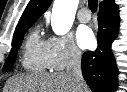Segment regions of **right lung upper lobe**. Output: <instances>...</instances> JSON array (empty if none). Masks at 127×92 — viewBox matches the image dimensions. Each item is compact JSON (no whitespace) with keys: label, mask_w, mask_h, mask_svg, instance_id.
Listing matches in <instances>:
<instances>
[{"label":"right lung upper lobe","mask_w":127,"mask_h":92,"mask_svg":"<svg viewBox=\"0 0 127 92\" xmlns=\"http://www.w3.org/2000/svg\"><path fill=\"white\" fill-rule=\"evenodd\" d=\"M51 2L52 0H31L23 12L15 32L31 26L47 10ZM101 5H115V2L114 0H104L99 6Z\"/></svg>","instance_id":"cb5924a9"}]
</instances>
